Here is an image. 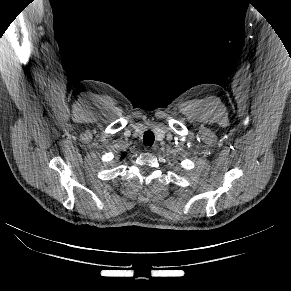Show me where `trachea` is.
<instances>
[{"instance_id":"obj_1","label":"trachea","mask_w":291,"mask_h":291,"mask_svg":"<svg viewBox=\"0 0 291 291\" xmlns=\"http://www.w3.org/2000/svg\"><path fill=\"white\" fill-rule=\"evenodd\" d=\"M154 134L152 131H146L143 135V143L146 146H152L154 143Z\"/></svg>"}]
</instances>
